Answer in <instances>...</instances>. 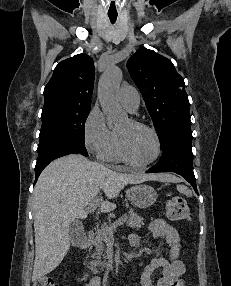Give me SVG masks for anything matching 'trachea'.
Here are the masks:
<instances>
[{
	"mask_svg": "<svg viewBox=\"0 0 231 286\" xmlns=\"http://www.w3.org/2000/svg\"><path fill=\"white\" fill-rule=\"evenodd\" d=\"M108 17H109L111 23L114 24L116 22V19H117V14H108Z\"/></svg>",
	"mask_w": 231,
	"mask_h": 286,
	"instance_id": "3493384b",
	"label": "trachea"
}]
</instances>
